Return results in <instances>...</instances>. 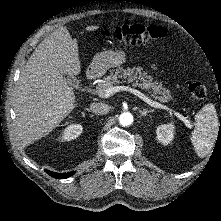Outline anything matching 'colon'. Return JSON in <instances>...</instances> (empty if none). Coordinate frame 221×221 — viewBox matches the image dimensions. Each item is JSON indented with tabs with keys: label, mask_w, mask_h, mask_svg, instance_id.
Listing matches in <instances>:
<instances>
[{
	"label": "colon",
	"mask_w": 221,
	"mask_h": 221,
	"mask_svg": "<svg viewBox=\"0 0 221 221\" xmlns=\"http://www.w3.org/2000/svg\"><path fill=\"white\" fill-rule=\"evenodd\" d=\"M102 35L124 45L138 46L163 38L166 35V30L157 25L128 24L104 30ZM188 89L196 99H203L207 95V88L201 81L191 82Z\"/></svg>",
	"instance_id": "colon-1"
}]
</instances>
